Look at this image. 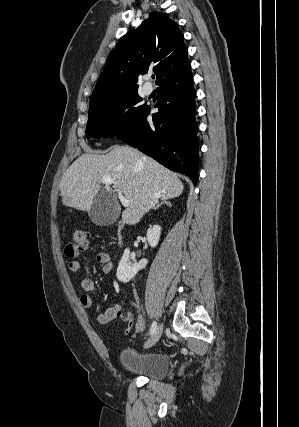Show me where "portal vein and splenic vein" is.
Segmentation results:
<instances>
[{"label": "portal vein and splenic vein", "mask_w": 299, "mask_h": 427, "mask_svg": "<svg viewBox=\"0 0 299 427\" xmlns=\"http://www.w3.org/2000/svg\"><path fill=\"white\" fill-rule=\"evenodd\" d=\"M102 183L106 184V185H111L113 183V180L110 177H105L102 179ZM115 190L118 194V198H119L120 202L122 203V205L125 207H128L129 201L122 195V193L118 189H115Z\"/></svg>", "instance_id": "1"}]
</instances>
